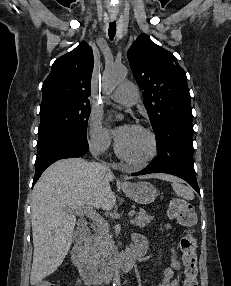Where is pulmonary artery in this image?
<instances>
[{"label": "pulmonary artery", "mask_w": 231, "mask_h": 286, "mask_svg": "<svg viewBox=\"0 0 231 286\" xmlns=\"http://www.w3.org/2000/svg\"><path fill=\"white\" fill-rule=\"evenodd\" d=\"M111 99L122 105L131 106L138 100L137 88L132 82L125 81L112 93Z\"/></svg>", "instance_id": "pulmonary-artery-1"}]
</instances>
